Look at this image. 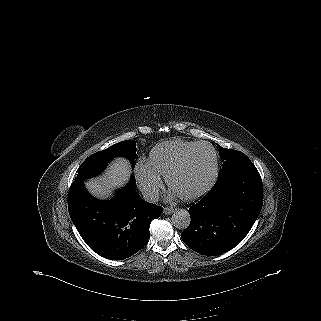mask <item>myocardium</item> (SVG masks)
Masks as SVG:
<instances>
[{
    "instance_id": "f54148a6",
    "label": "myocardium",
    "mask_w": 321,
    "mask_h": 321,
    "mask_svg": "<svg viewBox=\"0 0 321 321\" xmlns=\"http://www.w3.org/2000/svg\"><path fill=\"white\" fill-rule=\"evenodd\" d=\"M201 147H207L209 149H211L213 156H214V169H213V174L211 176V179L209 180V182L203 187L201 188L199 191H197L194 194L191 195H187V196H178V198H180L183 201H193L199 197H201L202 195H204L205 193H207L215 184L216 180H217V176H218V171H219V160H218V154L217 151L215 150V148L206 142H199L197 143L193 148H191L187 154L181 158L173 167H171V169L167 172L166 176H165V181H166V185L167 187L171 190V182H172V178L178 173L180 172L184 167H186L190 157L192 156V154Z\"/></svg>"
}]
</instances>
